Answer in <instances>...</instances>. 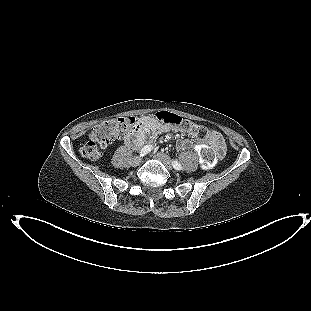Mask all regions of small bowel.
Instances as JSON below:
<instances>
[{
  "label": "small bowel",
  "instance_id": "obj_1",
  "mask_svg": "<svg viewBox=\"0 0 311 311\" xmlns=\"http://www.w3.org/2000/svg\"><path fill=\"white\" fill-rule=\"evenodd\" d=\"M172 128L159 123L151 116L141 117L137 123L136 128L127 135L125 143L134 149L140 148L145 142L153 141L159 134L167 132ZM173 130H180L175 128ZM214 138L211 141L214 147L218 146L217 138L222 139L221 135L213 131ZM223 142V139H222ZM190 143L189 140H178L176 146L178 149H184ZM224 144V142H223Z\"/></svg>",
  "mask_w": 311,
  "mask_h": 311
}]
</instances>
